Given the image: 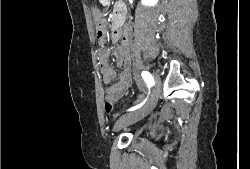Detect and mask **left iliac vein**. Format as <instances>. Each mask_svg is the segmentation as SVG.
<instances>
[{
  "mask_svg": "<svg viewBox=\"0 0 250 169\" xmlns=\"http://www.w3.org/2000/svg\"><path fill=\"white\" fill-rule=\"evenodd\" d=\"M154 88L147 103L140 109L120 116L115 122V130L118 131L134 122L144 118L154 108L161 92V79L158 73H153Z\"/></svg>",
  "mask_w": 250,
  "mask_h": 169,
  "instance_id": "4c4485c4",
  "label": "left iliac vein"
}]
</instances>
